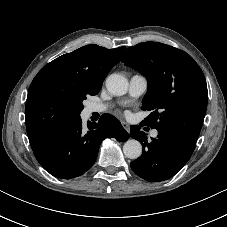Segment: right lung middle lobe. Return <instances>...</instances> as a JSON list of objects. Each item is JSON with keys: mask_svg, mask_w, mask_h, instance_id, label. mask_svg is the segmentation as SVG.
I'll return each mask as SVG.
<instances>
[{"mask_svg": "<svg viewBox=\"0 0 227 227\" xmlns=\"http://www.w3.org/2000/svg\"><path fill=\"white\" fill-rule=\"evenodd\" d=\"M86 99V97H83L80 99L79 101V106H78V114L81 112V110L83 109V104H82V101Z\"/></svg>", "mask_w": 227, "mask_h": 227, "instance_id": "obj_1", "label": "right lung middle lobe"}]
</instances>
